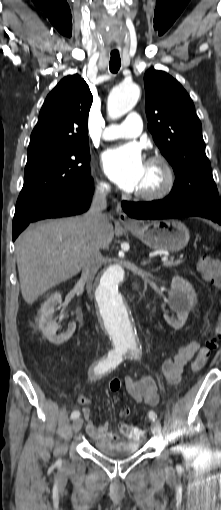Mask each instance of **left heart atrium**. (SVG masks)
<instances>
[{
	"label": "left heart atrium",
	"mask_w": 221,
	"mask_h": 510,
	"mask_svg": "<svg viewBox=\"0 0 221 510\" xmlns=\"http://www.w3.org/2000/svg\"><path fill=\"white\" fill-rule=\"evenodd\" d=\"M108 176L124 191H137L145 169V162L136 145L107 150L102 156Z\"/></svg>",
	"instance_id": "39dd6f15"
}]
</instances>
